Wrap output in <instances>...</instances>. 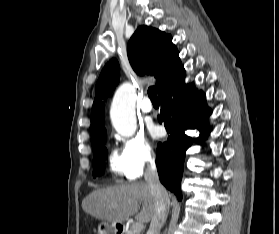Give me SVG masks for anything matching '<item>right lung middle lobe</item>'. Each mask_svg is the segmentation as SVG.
<instances>
[{
  "instance_id": "obj_1",
  "label": "right lung middle lobe",
  "mask_w": 279,
  "mask_h": 234,
  "mask_svg": "<svg viewBox=\"0 0 279 234\" xmlns=\"http://www.w3.org/2000/svg\"><path fill=\"white\" fill-rule=\"evenodd\" d=\"M106 142V136L100 138L92 144L94 159H93V176L96 177L104 172V161L107 157V149L104 144Z\"/></svg>"
}]
</instances>
